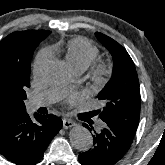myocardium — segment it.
<instances>
[{
  "label": "myocardium",
  "instance_id": "myocardium-1",
  "mask_svg": "<svg viewBox=\"0 0 165 165\" xmlns=\"http://www.w3.org/2000/svg\"><path fill=\"white\" fill-rule=\"evenodd\" d=\"M112 68L105 61L95 62L88 70L87 78L96 86L106 84L110 78Z\"/></svg>",
  "mask_w": 165,
  "mask_h": 165
}]
</instances>
